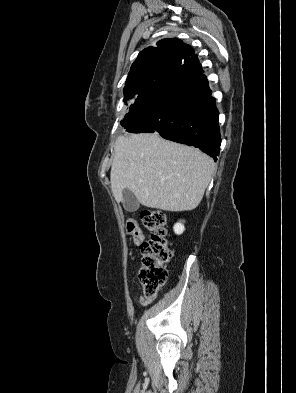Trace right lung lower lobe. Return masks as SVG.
Returning <instances> with one entry per match:
<instances>
[{"instance_id":"right-lung-lower-lobe-1","label":"right lung lower lobe","mask_w":296,"mask_h":393,"mask_svg":"<svg viewBox=\"0 0 296 393\" xmlns=\"http://www.w3.org/2000/svg\"><path fill=\"white\" fill-rule=\"evenodd\" d=\"M211 93L198 62L180 67L124 128L131 133H159L165 139L197 147L216 161L221 135Z\"/></svg>"}]
</instances>
